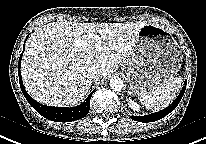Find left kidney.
Here are the masks:
<instances>
[{"instance_id": "1", "label": "left kidney", "mask_w": 206, "mask_h": 144, "mask_svg": "<svg viewBox=\"0 0 206 144\" xmlns=\"http://www.w3.org/2000/svg\"><path fill=\"white\" fill-rule=\"evenodd\" d=\"M127 104L128 106L133 110V111H140V106L136 102H134L132 99L128 98L127 99Z\"/></svg>"}]
</instances>
